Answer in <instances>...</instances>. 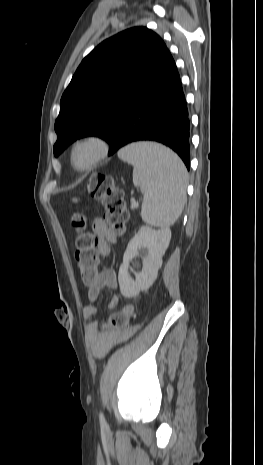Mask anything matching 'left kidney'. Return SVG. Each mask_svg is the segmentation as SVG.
I'll return each instance as SVG.
<instances>
[{"label": "left kidney", "mask_w": 263, "mask_h": 465, "mask_svg": "<svg viewBox=\"0 0 263 465\" xmlns=\"http://www.w3.org/2000/svg\"><path fill=\"white\" fill-rule=\"evenodd\" d=\"M170 239L169 229L155 230L149 226H142L130 240L118 273L120 291L124 297H135L140 291H146L152 286L162 266V257L169 246ZM140 248L147 249L148 254L143 258L142 272L137 274L134 280L130 277L128 269L130 261L139 255Z\"/></svg>", "instance_id": "obj_1"}]
</instances>
